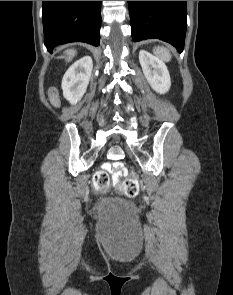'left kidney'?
Instances as JSON below:
<instances>
[{"mask_svg":"<svg viewBox=\"0 0 233 295\" xmlns=\"http://www.w3.org/2000/svg\"><path fill=\"white\" fill-rule=\"evenodd\" d=\"M139 62L151 87L160 94H165L171 86V78L165 63L146 50H140Z\"/></svg>","mask_w":233,"mask_h":295,"instance_id":"1","label":"left kidney"}]
</instances>
